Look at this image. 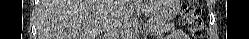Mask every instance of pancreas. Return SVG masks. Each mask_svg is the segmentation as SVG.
Returning <instances> with one entry per match:
<instances>
[{"label":"pancreas","instance_id":"1","mask_svg":"<svg viewBox=\"0 0 249 39\" xmlns=\"http://www.w3.org/2000/svg\"><path fill=\"white\" fill-rule=\"evenodd\" d=\"M172 28H174L173 24L159 19H153L147 25V30L153 35L162 34Z\"/></svg>","mask_w":249,"mask_h":39}]
</instances>
